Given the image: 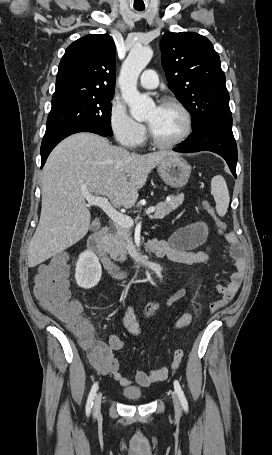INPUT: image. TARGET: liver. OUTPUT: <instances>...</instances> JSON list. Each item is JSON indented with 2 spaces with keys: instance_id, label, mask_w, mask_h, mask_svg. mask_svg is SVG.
<instances>
[{
  "instance_id": "1",
  "label": "liver",
  "mask_w": 272,
  "mask_h": 455,
  "mask_svg": "<svg viewBox=\"0 0 272 455\" xmlns=\"http://www.w3.org/2000/svg\"><path fill=\"white\" fill-rule=\"evenodd\" d=\"M170 155L178 154L130 153L92 133L63 140L43 169L41 215L29 244L28 266L41 264L87 234L91 214L83 192L106 196L116 208H131L148 174Z\"/></svg>"
}]
</instances>
